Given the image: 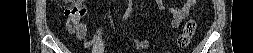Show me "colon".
<instances>
[{
    "label": "colon",
    "instance_id": "5ec220e1",
    "mask_svg": "<svg viewBox=\"0 0 253 53\" xmlns=\"http://www.w3.org/2000/svg\"><path fill=\"white\" fill-rule=\"evenodd\" d=\"M65 14L67 16L68 29L72 32L76 31L86 15V8L83 5V1H73L72 5L66 9ZM196 28L197 23L195 19H190L186 22L182 33L177 39L179 48H186L189 45L196 32ZM135 46L139 49H143L147 46V42L144 40H136Z\"/></svg>",
    "mask_w": 253,
    "mask_h": 53
}]
</instances>
